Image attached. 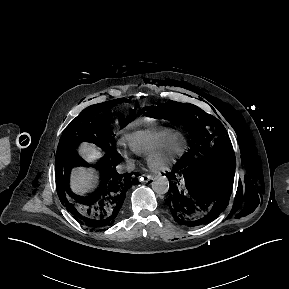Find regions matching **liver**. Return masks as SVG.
Segmentation results:
<instances>
[{"label":"liver","mask_w":289,"mask_h":289,"mask_svg":"<svg viewBox=\"0 0 289 289\" xmlns=\"http://www.w3.org/2000/svg\"><path fill=\"white\" fill-rule=\"evenodd\" d=\"M80 153L88 160L93 161L101 156L95 145L84 143L80 147ZM96 175L94 172L85 169H78L74 172L71 180V188L75 193L84 194L89 192L95 185Z\"/></svg>","instance_id":"1"}]
</instances>
